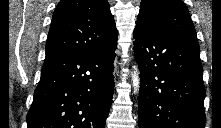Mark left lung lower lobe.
Here are the masks:
<instances>
[{
	"label": "left lung lower lobe",
	"mask_w": 221,
	"mask_h": 128,
	"mask_svg": "<svg viewBox=\"0 0 221 128\" xmlns=\"http://www.w3.org/2000/svg\"><path fill=\"white\" fill-rule=\"evenodd\" d=\"M139 128H204L205 87L199 48L136 26Z\"/></svg>",
	"instance_id": "obj_1"
}]
</instances>
